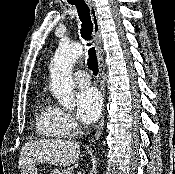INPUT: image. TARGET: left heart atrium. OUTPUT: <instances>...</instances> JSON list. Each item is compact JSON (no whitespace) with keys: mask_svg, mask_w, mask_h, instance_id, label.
<instances>
[{"mask_svg":"<svg viewBox=\"0 0 175 174\" xmlns=\"http://www.w3.org/2000/svg\"><path fill=\"white\" fill-rule=\"evenodd\" d=\"M76 101L77 115L82 122L90 124L98 119L101 113L102 99L96 89L87 87L80 90Z\"/></svg>","mask_w":175,"mask_h":174,"instance_id":"1","label":"left heart atrium"}]
</instances>
